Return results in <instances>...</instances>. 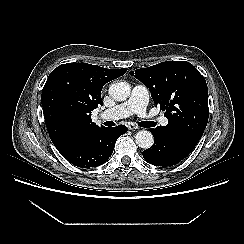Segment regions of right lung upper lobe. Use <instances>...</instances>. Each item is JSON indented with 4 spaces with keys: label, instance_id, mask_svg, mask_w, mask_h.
Masks as SVG:
<instances>
[{
    "label": "right lung upper lobe",
    "instance_id": "right-lung-upper-lobe-1",
    "mask_svg": "<svg viewBox=\"0 0 244 244\" xmlns=\"http://www.w3.org/2000/svg\"><path fill=\"white\" fill-rule=\"evenodd\" d=\"M126 71L127 68L112 70L88 63H67L50 73L41 102L49 136L57 149L74 137L105 128L92 122L91 112L102 103V87Z\"/></svg>",
    "mask_w": 244,
    "mask_h": 244
}]
</instances>
